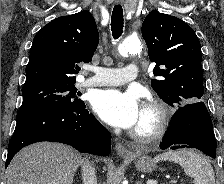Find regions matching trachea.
Segmentation results:
<instances>
[{
    "mask_svg": "<svg viewBox=\"0 0 224 184\" xmlns=\"http://www.w3.org/2000/svg\"><path fill=\"white\" fill-rule=\"evenodd\" d=\"M123 9L121 5H115L111 17V30L114 39H118L123 32Z\"/></svg>",
    "mask_w": 224,
    "mask_h": 184,
    "instance_id": "trachea-1",
    "label": "trachea"
}]
</instances>
